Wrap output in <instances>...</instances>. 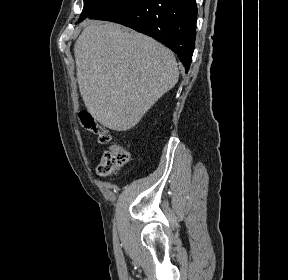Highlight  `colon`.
<instances>
[{
  "mask_svg": "<svg viewBox=\"0 0 288 280\" xmlns=\"http://www.w3.org/2000/svg\"><path fill=\"white\" fill-rule=\"evenodd\" d=\"M79 120L82 126L97 136L99 142L106 144L112 139L110 132L103 127L98 120L88 111L79 113ZM129 147L126 144H111L103 153L100 163L97 167L98 174L102 177L112 175L123 167L129 159Z\"/></svg>",
  "mask_w": 288,
  "mask_h": 280,
  "instance_id": "1",
  "label": "colon"
}]
</instances>
